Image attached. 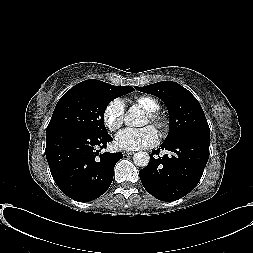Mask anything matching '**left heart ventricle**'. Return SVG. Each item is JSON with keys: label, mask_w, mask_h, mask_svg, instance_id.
I'll use <instances>...</instances> for the list:
<instances>
[{"label": "left heart ventricle", "mask_w": 253, "mask_h": 253, "mask_svg": "<svg viewBox=\"0 0 253 253\" xmlns=\"http://www.w3.org/2000/svg\"><path fill=\"white\" fill-rule=\"evenodd\" d=\"M149 125H151L150 120L147 118V116H145L141 123V127H147Z\"/></svg>", "instance_id": "obj_1"}]
</instances>
